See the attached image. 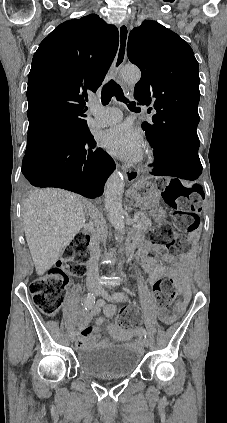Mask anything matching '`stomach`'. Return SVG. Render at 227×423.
I'll return each instance as SVG.
<instances>
[{"label":"stomach","mask_w":227,"mask_h":423,"mask_svg":"<svg viewBox=\"0 0 227 423\" xmlns=\"http://www.w3.org/2000/svg\"><path fill=\"white\" fill-rule=\"evenodd\" d=\"M130 192L140 208H153L160 198V192L156 184L148 182L146 178L133 184Z\"/></svg>","instance_id":"obj_1"}]
</instances>
